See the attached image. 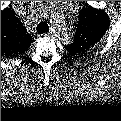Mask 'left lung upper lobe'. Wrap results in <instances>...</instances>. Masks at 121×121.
<instances>
[{"label": "left lung upper lobe", "mask_w": 121, "mask_h": 121, "mask_svg": "<svg viewBox=\"0 0 121 121\" xmlns=\"http://www.w3.org/2000/svg\"><path fill=\"white\" fill-rule=\"evenodd\" d=\"M110 20L104 10L90 6L80 11L77 31L71 45L65 49L73 54L80 55L93 48L105 35Z\"/></svg>", "instance_id": "obj_1"}]
</instances>
